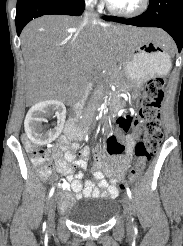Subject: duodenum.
Listing matches in <instances>:
<instances>
[{
    "label": "duodenum",
    "mask_w": 183,
    "mask_h": 246,
    "mask_svg": "<svg viewBox=\"0 0 183 246\" xmlns=\"http://www.w3.org/2000/svg\"><path fill=\"white\" fill-rule=\"evenodd\" d=\"M76 109L80 108L79 104L75 105ZM64 133L71 139H76V138H82L83 134L80 133L79 128L77 127V124L74 119H70L64 128ZM98 149V148H97Z\"/></svg>",
    "instance_id": "duodenum-1"
}]
</instances>
